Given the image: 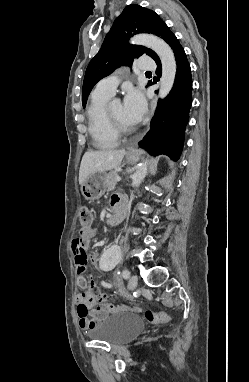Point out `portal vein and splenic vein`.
<instances>
[{
  "mask_svg": "<svg viewBox=\"0 0 249 382\" xmlns=\"http://www.w3.org/2000/svg\"><path fill=\"white\" fill-rule=\"evenodd\" d=\"M115 180H116L117 182H119V181H121V177H120V176H117V177L115 178Z\"/></svg>",
  "mask_w": 249,
  "mask_h": 382,
  "instance_id": "obj_1",
  "label": "portal vein and splenic vein"
}]
</instances>
